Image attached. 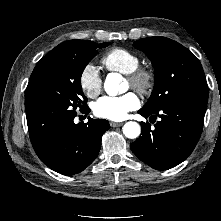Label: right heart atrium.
<instances>
[{
  "label": "right heart atrium",
  "mask_w": 221,
  "mask_h": 221,
  "mask_svg": "<svg viewBox=\"0 0 221 221\" xmlns=\"http://www.w3.org/2000/svg\"><path fill=\"white\" fill-rule=\"evenodd\" d=\"M79 86L82 92L89 98H95L102 90V78L98 68L92 64H87L79 76Z\"/></svg>",
  "instance_id": "d8ad5b80"
}]
</instances>
